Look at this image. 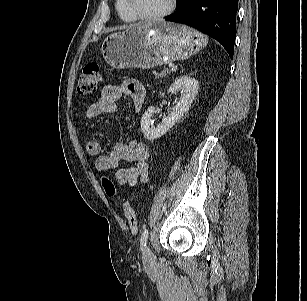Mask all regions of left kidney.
<instances>
[{"mask_svg": "<svg viewBox=\"0 0 307 301\" xmlns=\"http://www.w3.org/2000/svg\"><path fill=\"white\" fill-rule=\"evenodd\" d=\"M199 89V82L190 75L179 77L168 89V93L181 91V97L172 109L171 113L164 117L158 126H154L151 120L155 113V107H149L142 116L141 130L147 140H154L163 136L170 128L179 121L182 116L189 110Z\"/></svg>", "mask_w": 307, "mask_h": 301, "instance_id": "left-kidney-1", "label": "left kidney"}]
</instances>
